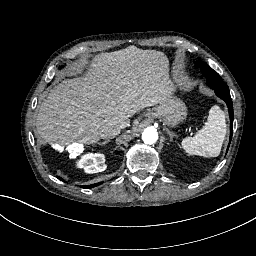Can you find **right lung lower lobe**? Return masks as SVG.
<instances>
[{"label":"right lung lower lobe","instance_id":"obj_1","mask_svg":"<svg viewBox=\"0 0 256 256\" xmlns=\"http://www.w3.org/2000/svg\"><path fill=\"white\" fill-rule=\"evenodd\" d=\"M60 180L64 181L62 178L58 177ZM101 183H96V184H92V185H88V186H83V188H92V187H95V186H98L100 185Z\"/></svg>","mask_w":256,"mask_h":256}]
</instances>
